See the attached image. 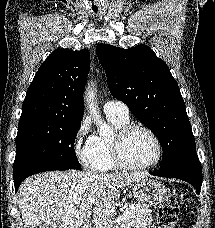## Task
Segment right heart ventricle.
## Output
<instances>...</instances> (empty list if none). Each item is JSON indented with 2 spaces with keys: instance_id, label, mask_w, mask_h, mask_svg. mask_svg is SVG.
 <instances>
[{
  "instance_id": "right-heart-ventricle-1",
  "label": "right heart ventricle",
  "mask_w": 215,
  "mask_h": 228,
  "mask_svg": "<svg viewBox=\"0 0 215 228\" xmlns=\"http://www.w3.org/2000/svg\"><path fill=\"white\" fill-rule=\"evenodd\" d=\"M107 115L111 125L116 130L129 123V117L124 118L117 114ZM113 136V133L111 135L97 134L89 138L87 164L90 169L97 172H109L118 169L112 154Z\"/></svg>"
}]
</instances>
